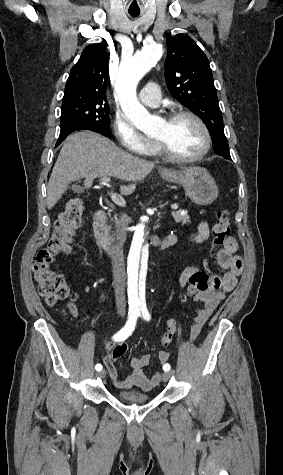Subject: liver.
Segmentation results:
<instances>
[{"instance_id": "6515ba94", "label": "liver", "mask_w": 283, "mask_h": 475, "mask_svg": "<svg viewBox=\"0 0 283 475\" xmlns=\"http://www.w3.org/2000/svg\"><path fill=\"white\" fill-rule=\"evenodd\" d=\"M155 164L136 158L118 148L109 138L95 132H77L68 136L52 170L47 186V208L51 210L65 194L69 184L85 178L91 188L95 178L114 176L126 182H139L152 172ZM136 184L121 186L123 196L132 194Z\"/></svg>"}]
</instances>
